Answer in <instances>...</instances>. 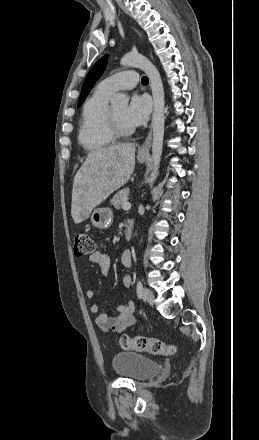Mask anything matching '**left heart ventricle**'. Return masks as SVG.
<instances>
[{"label":"left heart ventricle","instance_id":"1","mask_svg":"<svg viewBox=\"0 0 259 440\" xmlns=\"http://www.w3.org/2000/svg\"><path fill=\"white\" fill-rule=\"evenodd\" d=\"M126 106L125 105H121V106H116L113 107V112L116 115L117 119L120 121L121 124H123L126 127H131L125 119V113H126Z\"/></svg>","mask_w":259,"mask_h":440}]
</instances>
